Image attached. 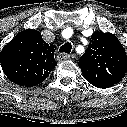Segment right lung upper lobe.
<instances>
[{"label":"right lung upper lobe","mask_w":127,"mask_h":127,"mask_svg":"<svg viewBox=\"0 0 127 127\" xmlns=\"http://www.w3.org/2000/svg\"><path fill=\"white\" fill-rule=\"evenodd\" d=\"M55 49L37 30L27 29L2 49L0 64L10 81L20 86H35L42 83L57 65Z\"/></svg>","instance_id":"obj_1"}]
</instances>
